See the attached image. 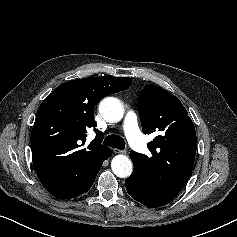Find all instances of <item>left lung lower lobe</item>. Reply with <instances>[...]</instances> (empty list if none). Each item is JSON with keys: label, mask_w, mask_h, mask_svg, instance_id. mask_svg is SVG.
Masks as SVG:
<instances>
[{"label": "left lung lower lobe", "mask_w": 237, "mask_h": 237, "mask_svg": "<svg viewBox=\"0 0 237 237\" xmlns=\"http://www.w3.org/2000/svg\"><path fill=\"white\" fill-rule=\"evenodd\" d=\"M126 189L128 194L135 199L136 201L142 203L145 206L156 208L160 207L170 200L167 201H155L150 200L145 196V193L143 192V189L136 183L134 174L132 173L128 178L125 180Z\"/></svg>", "instance_id": "1"}]
</instances>
